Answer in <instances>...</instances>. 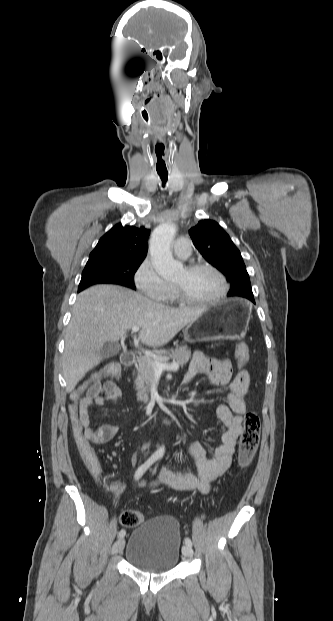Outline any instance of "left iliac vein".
Segmentation results:
<instances>
[{
	"label": "left iliac vein",
	"instance_id": "left-iliac-vein-1",
	"mask_svg": "<svg viewBox=\"0 0 333 621\" xmlns=\"http://www.w3.org/2000/svg\"><path fill=\"white\" fill-rule=\"evenodd\" d=\"M182 553L185 557L191 558L193 556V549L188 545H184L182 547Z\"/></svg>",
	"mask_w": 333,
	"mask_h": 621
}]
</instances>
